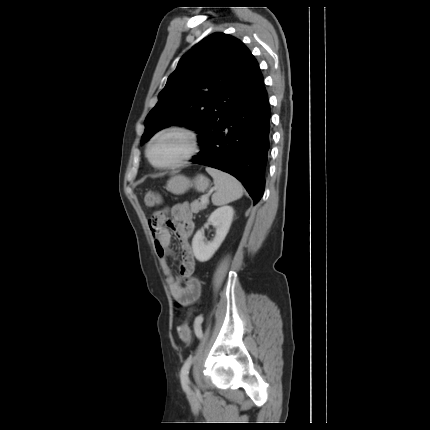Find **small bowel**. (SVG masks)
Wrapping results in <instances>:
<instances>
[{"instance_id": "obj_1", "label": "small bowel", "mask_w": 430, "mask_h": 430, "mask_svg": "<svg viewBox=\"0 0 430 430\" xmlns=\"http://www.w3.org/2000/svg\"><path fill=\"white\" fill-rule=\"evenodd\" d=\"M159 264L166 275V282L176 302L181 306L195 303L201 296V283L195 276V262L190 246V237L194 232L192 213L187 202L179 203L166 211L156 212L149 222ZM174 230L181 250L179 277L172 273L169 258L173 257L170 249L171 233ZM203 321L202 316L195 319L197 325ZM187 323L177 327L178 333Z\"/></svg>"}]
</instances>
